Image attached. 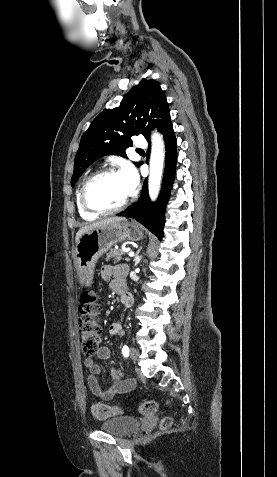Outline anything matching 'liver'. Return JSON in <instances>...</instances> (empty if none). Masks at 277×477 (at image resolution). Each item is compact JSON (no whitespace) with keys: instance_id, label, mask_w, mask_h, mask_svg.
Listing matches in <instances>:
<instances>
[{"instance_id":"liver-1","label":"liver","mask_w":277,"mask_h":477,"mask_svg":"<svg viewBox=\"0 0 277 477\" xmlns=\"http://www.w3.org/2000/svg\"><path fill=\"white\" fill-rule=\"evenodd\" d=\"M122 221H125V218L124 217H111V218H106V219H103V220H100V221H97V222H94L92 224H89V225H85L83 226L82 228H80L76 234V237H75V241L76 243L78 242L79 238L84 234V233H87L89 232L90 230L96 228V227H99L101 225H104V224H108V223H113V222H122Z\"/></svg>"}]
</instances>
